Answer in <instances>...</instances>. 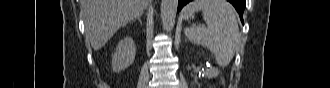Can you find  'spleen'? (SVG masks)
<instances>
[{
	"instance_id": "3e777b00",
	"label": "spleen",
	"mask_w": 330,
	"mask_h": 88,
	"mask_svg": "<svg viewBox=\"0 0 330 88\" xmlns=\"http://www.w3.org/2000/svg\"><path fill=\"white\" fill-rule=\"evenodd\" d=\"M198 11H202L207 27L185 28L186 37L194 44L207 47L220 66H227L240 41L233 6L226 0H195L186 6L183 17L189 19Z\"/></svg>"
}]
</instances>
